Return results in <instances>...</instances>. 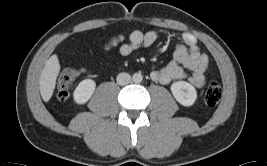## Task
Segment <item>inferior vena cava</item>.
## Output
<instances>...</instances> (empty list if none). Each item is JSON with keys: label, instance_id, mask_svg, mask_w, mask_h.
<instances>
[{"label": "inferior vena cava", "instance_id": "1", "mask_svg": "<svg viewBox=\"0 0 267 166\" xmlns=\"http://www.w3.org/2000/svg\"><path fill=\"white\" fill-rule=\"evenodd\" d=\"M116 81L121 86L127 85L131 81V76L128 73L123 72L118 74Z\"/></svg>", "mask_w": 267, "mask_h": 166}]
</instances>
